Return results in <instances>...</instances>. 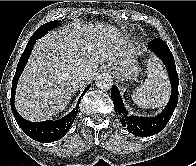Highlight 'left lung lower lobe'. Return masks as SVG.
Wrapping results in <instances>:
<instances>
[{
    "label": "left lung lower lobe",
    "instance_id": "1",
    "mask_svg": "<svg viewBox=\"0 0 196 166\" xmlns=\"http://www.w3.org/2000/svg\"><path fill=\"white\" fill-rule=\"evenodd\" d=\"M149 49L165 64L169 75L172 92L170 100L163 111L155 117H136L126 111L117 86H112L111 96L114 108L123 127L136 136H151L162 131L171 118L178 102V74L174 57L168 45L160 38L149 43Z\"/></svg>",
    "mask_w": 196,
    "mask_h": 166
}]
</instances>
